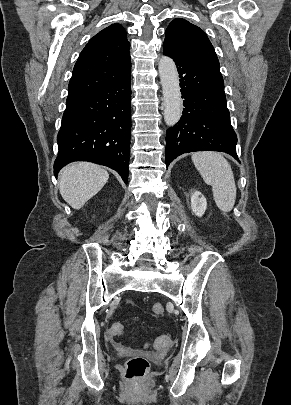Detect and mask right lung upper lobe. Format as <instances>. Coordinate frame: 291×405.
<instances>
[{
  "instance_id": "right-lung-upper-lobe-1",
  "label": "right lung upper lobe",
  "mask_w": 291,
  "mask_h": 405,
  "mask_svg": "<svg viewBox=\"0 0 291 405\" xmlns=\"http://www.w3.org/2000/svg\"><path fill=\"white\" fill-rule=\"evenodd\" d=\"M129 48L126 31L118 23L96 34L82 50L74 66L67 103L130 74Z\"/></svg>"
}]
</instances>
